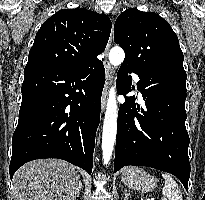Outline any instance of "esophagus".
<instances>
[{
  "label": "esophagus",
  "instance_id": "34e87169",
  "mask_svg": "<svg viewBox=\"0 0 205 200\" xmlns=\"http://www.w3.org/2000/svg\"><path fill=\"white\" fill-rule=\"evenodd\" d=\"M112 40H113V22H112V28H111V33H110V37L106 46V49L104 51V67H105V71H106V81H105V86H104V90H103V94H102V98H101V111L103 112L106 106V100H107V95H108V88L110 86V83L112 81L113 78V74H112V67L110 62L108 61V53L112 44Z\"/></svg>",
  "mask_w": 205,
  "mask_h": 200
}]
</instances>
